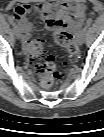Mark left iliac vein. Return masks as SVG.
<instances>
[{
  "label": "left iliac vein",
  "instance_id": "1",
  "mask_svg": "<svg viewBox=\"0 0 104 137\" xmlns=\"http://www.w3.org/2000/svg\"><path fill=\"white\" fill-rule=\"evenodd\" d=\"M84 39H85V32H82L78 38V42L80 44H83L84 43Z\"/></svg>",
  "mask_w": 104,
  "mask_h": 137
}]
</instances>
